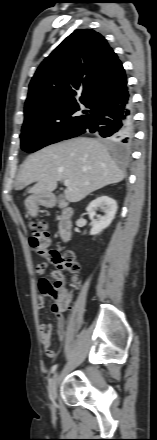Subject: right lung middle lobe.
<instances>
[{
  "mask_svg": "<svg viewBox=\"0 0 157 440\" xmlns=\"http://www.w3.org/2000/svg\"><path fill=\"white\" fill-rule=\"evenodd\" d=\"M83 130L84 125L29 121L24 123L22 127L21 148L29 153L35 152L49 144L76 137Z\"/></svg>",
  "mask_w": 157,
  "mask_h": 440,
  "instance_id": "obj_1",
  "label": "right lung middle lobe"
}]
</instances>
